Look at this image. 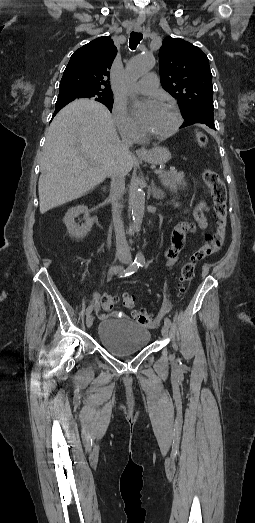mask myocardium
Wrapping results in <instances>:
<instances>
[{"label":"myocardium","instance_id":"f54148a6","mask_svg":"<svg viewBox=\"0 0 255 523\" xmlns=\"http://www.w3.org/2000/svg\"><path fill=\"white\" fill-rule=\"evenodd\" d=\"M160 105H167V106L171 107L174 110L175 116H176L175 124H174V126H173L171 131H169L168 133H166L164 135L156 137V138H148L147 136L144 135L143 132H140L138 138L141 139L144 142H159V141L166 140V139L174 136L179 131V129H180L182 123H183L182 114H181L178 106L175 103H173L171 101H161V102H159L157 104V106H160Z\"/></svg>","mask_w":255,"mask_h":523}]
</instances>
